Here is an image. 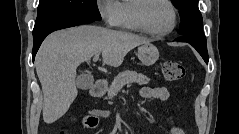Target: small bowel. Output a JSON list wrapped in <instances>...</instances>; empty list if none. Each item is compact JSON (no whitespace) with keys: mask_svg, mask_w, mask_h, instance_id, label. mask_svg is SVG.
<instances>
[{"mask_svg":"<svg viewBox=\"0 0 239 134\" xmlns=\"http://www.w3.org/2000/svg\"><path fill=\"white\" fill-rule=\"evenodd\" d=\"M140 95L145 99H157L166 101L170 97V92L167 87H143L140 90ZM92 116L106 118L110 115V111L103 109H93L88 112ZM171 134H184L183 130L179 127H172Z\"/></svg>","mask_w":239,"mask_h":134,"instance_id":"c3829d8e","label":"small bowel"}]
</instances>
